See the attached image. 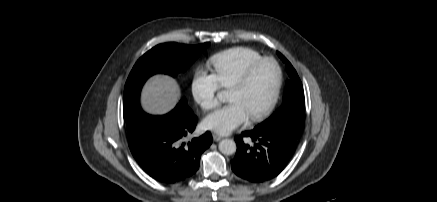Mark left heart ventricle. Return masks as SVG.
<instances>
[{"label": "left heart ventricle", "instance_id": "1", "mask_svg": "<svg viewBox=\"0 0 437 202\" xmlns=\"http://www.w3.org/2000/svg\"><path fill=\"white\" fill-rule=\"evenodd\" d=\"M276 79L275 66L270 62L262 63L244 87L230 89L228 100L239 102L249 118L261 111L269 102Z\"/></svg>", "mask_w": 437, "mask_h": 202}]
</instances>
